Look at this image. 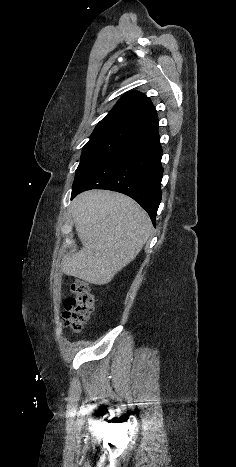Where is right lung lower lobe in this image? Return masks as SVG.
Listing matches in <instances>:
<instances>
[{
    "label": "right lung lower lobe",
    "instance_id": "right-lung-lower-lobe-1",
    "mask_svg": "<svg viewBox=\"0 0 236 467\" xmlns=\"http://www.w3.org/2000/svg\"><path fill=\"white\" fill-rule=\"evenodd\" d=\"M159 140L157 126L125 143L73 185L71 198L89 189L117 191L137 201L155 225L162 197Z\"/></svg>",
    "mask_w": 236,
    "mask_h": 467
}]
</instances>
